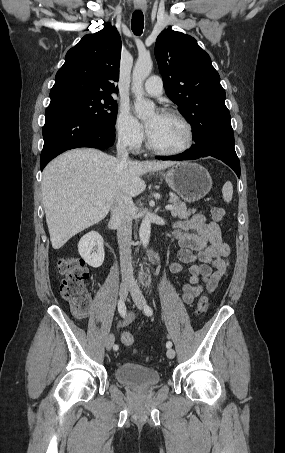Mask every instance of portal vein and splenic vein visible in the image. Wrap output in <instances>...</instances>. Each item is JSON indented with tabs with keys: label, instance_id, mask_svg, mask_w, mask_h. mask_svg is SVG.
Instances as JSON below:
<instances>
[{
	"label": "portal vein and splenic vein",
	"instance_id": "1",
	"mask_svg": "<svg viewBox=\"0 0 285 453\" xmlns=\"http://www.w3.org/2000/svg\"><path fill=\"white\" fill-rule=\"evenodd\" d=\"M165 208H166V210H172L174 208V206L171 204H168V205H166Z\"/></svg>",
	"mask_w": 285,
	"mask_h": 453
}]
</instances>
